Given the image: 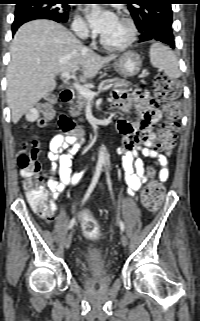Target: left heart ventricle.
I'll return each mask as SVG.
<instances>
[{
  "label": "left heart ventricle",
  "instance_id": "b2bd125f",
  "mask_svg": "<svg viewBox=\"0 0 200 321\" xmlns=\"http://www.w3.org/2000/svg\"><path fill=\"white\" fill-rule=\"evenodd\" d=\"M129 35V27L121 18H117L114 25L106 33L102 34L106 42L112 45L125 43Z\"/></svg>",
  "mask_w": 200,
  "mask_h": 321
}]
</instances>
